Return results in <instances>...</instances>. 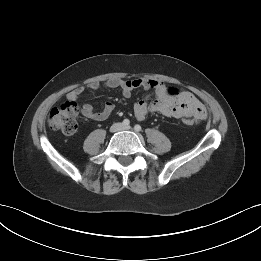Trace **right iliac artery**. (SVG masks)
<instances>
[{
  "label": "right iliac artery",
  "instance_id": "82829eb1",
  "mask_svg": "<svg viewBox=\"0 0 261 261\" xmlns=\"http://www.w3.org/2000/svg\"><path fill=\"white\" fill-rule=\"evenodd\" d=\"M122 124H123L124 126H128V125L130 124V121H129L128 119H124L123 122H122Z\"/></svg>",
  "mask_w": 261,
  "mask_h": 261
}]
</instances>
